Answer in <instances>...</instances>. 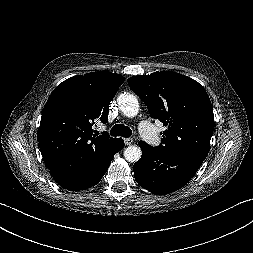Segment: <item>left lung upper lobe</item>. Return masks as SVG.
Masks as SVG:
<instances>
[{"label":"left lung upper lobe","instance_id":"left-lung-upper-lobe-1","mask_svg":"<svg viewBox=\"0 0 253 253\" xmlns=\"http://www.w3.org/2000/svg\"><path fill=\"white\" fill-rule=\"evenodd\" d=\"M127 81L144 101L150 116L167 128L156 147L164 158L177 162L187 157H207L214 115L202 85L172 71L133 76Z\"/></svg>","mask_w":253,"mask_h":253}]
</instances>
